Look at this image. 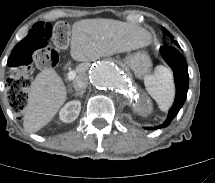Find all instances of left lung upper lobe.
Instances as JSON below:
<instances>
[{
  "label": "left lung upper lobe",
  "instance_id": "1",
  "mask_svg": "<svg viewBox=\"0 0 215 183\" xmlns=\"http://www.w3.org/2000/svg\"><path fill=\"white\" fill-rule=\"evenodd\" d=\"M162 31H163V33H164L165 35H168V36L171 37V34H170L165 28H162ZM173 42H174V44H176L177 46H179L178 43H177L176 41H173Z\"/></svg>",
  "mask_w": 215,
  "mask_h": 183
}]
</instances>
